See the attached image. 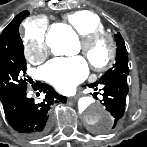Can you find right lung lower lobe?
<instances>
[{"instance_id":"1","label":"right lung lower lobe","mask_w":147,"mask_h":147,"mask_svg":"<svg viewBox=\"0 0 147 147\" xmlns=\"http://www.w3.org/2000/svg\"><path fill=\"white\" fill-rule=\"evenodd\" d=\"M36 89L45 93L42 102L36 103L26 96V89L9 93L0 98L6 119L10 126L24 136L35 138L44 135L50 126L48 111L57 102L65 103L67 98L59 95L47 84L36 85Z\"/></svg>"}]
</instances>
